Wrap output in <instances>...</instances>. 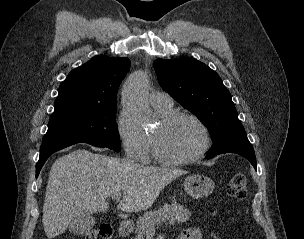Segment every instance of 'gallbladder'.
Instances as JSON below:
<instances>
[{"instance_id":"obj_1","label":"gallbladder","mask_w":304,"mask_h":239,"mask_svg":"<svg viewBox=\"0 0 304 239\" xmlns=\"http://www.w3.org/2000/svg\"><path fill=\"white\" fill-rule=\"evenodd\" d=\"M95 222V218L91 215L77 216L69 223L68 229L74 235H82L88 232Z\"/></svg>"}]
</instances>
